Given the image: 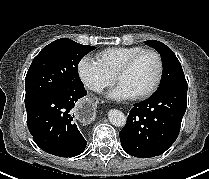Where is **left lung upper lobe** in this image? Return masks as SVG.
<instances>
[{
    "label": "left lung upper lobe",
    "mask_w": 209,
    "mask_h": 179,
    "mask_svg": "<svg viewBox=\"0 0 209 179\" xmlns=\"http://www.w3.org/2000/svg\"><path fill=\"white\" fill-rule=\"evenodd\" d=\"M146 44L155 48L160 53L163 62L164 70L161 83L155 93L162 92L177 85H187L181 64L174 52L159 41L148 40Z\"/></svg>",
    "instance_id": "1"
}]
</instances>
